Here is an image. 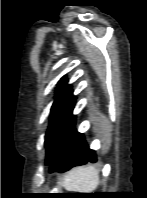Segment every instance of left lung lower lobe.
I'll use <instances>...</instances> for the list:
<instances>
[{"mask_svg": "<svg viewBox=\"0 0 147 198\" xmlns=\"http://www.w3.org/2000/svg\"><path fill=\"white\" fill-rule=\"evenodd\" d=\"M94 150L89 149L83 134L75 130V124L66 133L53 152L50 161V172H65L88 161L96 162Z\"/></svg>", "mask_w": 147, "mask_h": 198, "instance_id": "0a47b994", "label": "left lung lower lobe"}]
</instances>
